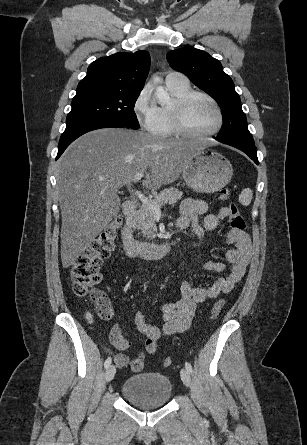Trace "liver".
Listing matches in <instances>:
<instances>
[{
  "instance_id": "1",
  "label": "liver",
  "mask_w": 307,
  "mask_h": 445,
  "mask_svg": "<svg viewBox=\"0 0 307 445\" xmlns=\"http://www.w3.org/2000/svg\"><path fill=\"white\" fill-rule=\"evenodd\" d=\"M198 148L195 140L162 138L127 128H98L74 140L57 174L62 267L75 263L118 214V188L145 170L142 184L146 188L157 190L171 184Z\"/></svg>"
}]
</instances>
